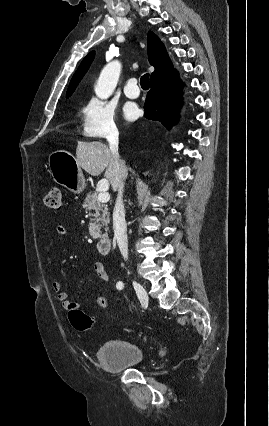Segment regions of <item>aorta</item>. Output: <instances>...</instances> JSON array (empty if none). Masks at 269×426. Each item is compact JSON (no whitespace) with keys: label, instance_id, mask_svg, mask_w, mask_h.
Instances as JSON below:
<instances>
[{"label":"aorta","instance_id":"762f6f07","mask_svg":"<svg viewBox=\"0 0 269 426\" xmlns=\"http://www.w3.org/2000/svg\"><path fill=\"white\" fill-rule=\"evenodd\" d=\"M121 72V64L118 61H113L106 65L95 86V93L101 99L108 98L114 91L119 80Z\"/></svg>","mask_w":269,"mask_h":426}]
</instances>
